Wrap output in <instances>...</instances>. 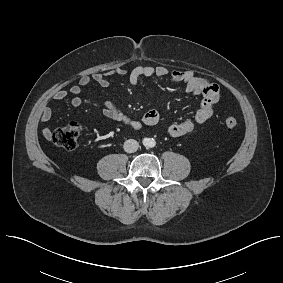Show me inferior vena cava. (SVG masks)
<instances>
[{"label": "inferior vena cava", "mask_w": 283, "mask_h": 283, "mask_svg": "<svg viewBox=\"0 0 283 283\" xmlns=\"http://www.w3.org/2000/svg\"><path fill=\"white\" fill-rule=\"evenodd\" d=\"M123 147L127 153H134L138 150L139 143L134 139H128L125 141Z\"/></svg>", "instance_id": "inferior-vena-cava-1"}]
</instances>
